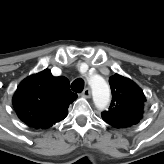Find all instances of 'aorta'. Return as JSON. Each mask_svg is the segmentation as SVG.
I'll list each match as a JSON object with an SVG mask.
<instances>
[{"label": "aorta", "instance_id": "762f6f07", "mask_svg": "<svg viewBox=\"0 0 164 164\" xmlns=\"http://www.w3.org/2000/svg\"><path fill=\"white\" fill-rule=\"evenodd\" d=\"M90 85L95 105L100 109L106 108L110 102L111 96L107 83L103 79H93Z\"/></svg>", "mask_w": 164, "mask_h": 164}]
</instances>
